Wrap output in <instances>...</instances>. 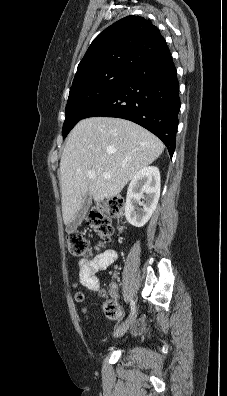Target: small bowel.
Listing matches in <instances>:
<instances>
[{"label": "small bowel", "instance_id": "small-bowel-1", "mask_svg": "<svg viewBox=\"0 0 227 396\" xmlns=\"http://www.w3.org/2000/svg\"><path fill=\"white\" fill-rule=\"evenodd\" d=\"M117 258L116 251L108 249L102 252L96 253L94 256L83 259L79 262V278L83 286L92 292H95L99 287V281L96 274L99 271L105 270L109 267ZM110 293L114 297H118V286L113 283L110 286ZM122 313L118 310L116 317H121ZM145 321L140 320L135 322L133 325L134 331H139L144 325Z\"/></svg>", "mask_w": 227, "mask_h": 396}]
</instances>
